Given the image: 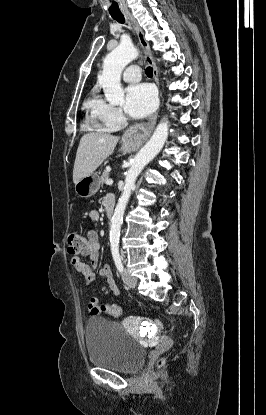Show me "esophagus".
<instances>
[{"instance_id": "esophagus-1", "label": "esophagus", "mask_w": 266, "mask_h": 415, "mask_svg": "<svg viewBox=\"0 0 266 415\" xmlns=\"http://www.w3.org/2000/svg\"><path fill=\"white\" fill-rule=\"evenodd\" d=\"M127 19L132 23L141 47L143 48L145 54L146 62L153 68V78L157 86L159 87V76H158V69L153 60L152 53L150 50V46L148 41L145 38L144 32L137 23L136 19L131 15H126ZM158 116V110L154 112V114L149 118L146 124H136L130 127L123 135L124 140H126L131 145H140L145 141L152 133L156 120Z\"/></svg>"}]
</instances>
